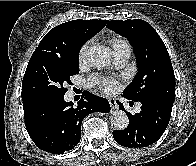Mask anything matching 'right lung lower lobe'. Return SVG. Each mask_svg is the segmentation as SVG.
<instances>
[{"instance_id": "98d812e1", "label": "right lung lower lobe", "mask_w": 196, "mask_h": 166, "mask_svg": "<svg viewBox=\"0 0 196 166\" xmlns=\"http://www.w3.org/2000/svg\"><path fill=\"white\" fill-rule=\"evenodd\" d=\"M62 97L23 100L25 126L35 145L43 151L63 154L81 139V122L91 112L108 113L107 99L85 91L77 106Z\"/></svg>"}]
</instances>
